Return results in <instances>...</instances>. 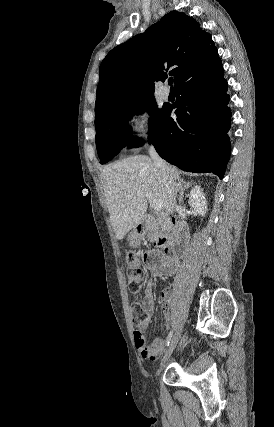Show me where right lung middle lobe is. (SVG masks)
Returning <instances> with one entry per match:
<instances>
[{"mask_svg": "<svg viewBox=\"0 0 274 427\" xmlns=\"http://www.w3.org/2000/svg\"><path fill=\"white\" fill-rule=\"evenodd\" d=\"M157 108L154 95L134 96L103 109L95 114L96 146L101 164L109 162L122 148L129 145L128 138L132 134L128 126L131 116L144 112L152 116L149 131L164 112Z\"/></svg>", "mask_w": 274, "mask_h": 427, "instance_id": "obj_1", "label": "right lung middle lobe"}]
</instances>
